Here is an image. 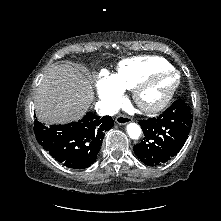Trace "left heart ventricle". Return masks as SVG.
<instances>
[{"label":"left heart ventricle","mask_w":221,"mask_h":221,"mask_svg":"<svg viewBox=\"0 0 221 221\" xmlns=\"http://www.w3.org/2000/svg\"><path fill=\"white\" fill-rule=\"evenodd\" d=\"M172 82V77L162 78L144 93V100L151 103L160 100L166 94Z\"/></svg>","instance_id":"left-heart-ventricle-1"}]
</instances>
